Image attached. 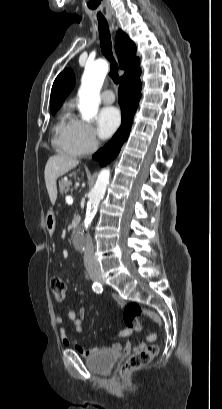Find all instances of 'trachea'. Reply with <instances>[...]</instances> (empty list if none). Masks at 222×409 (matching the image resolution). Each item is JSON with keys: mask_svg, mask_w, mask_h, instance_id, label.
<instances>
[{"mask_svg": "<svg viewBox=\"0 0 222 409\" xmlns=\"http://www.w3.org/2000/svg\"><path fill=\"white\" fill-rule=\"evenodd\" d=\"M98 27H99V38H100V45L101 51L103 55L108 59L110 62V77L112 80L117 84L118 83V66L114 60L112 54V42L110 31L108 28V23L105 20H98Z\"/></svg>", "mask_w": 222, "mask_h": 409, "instance_id": "trachea-1", "label": "trachea"}]
</instances>
